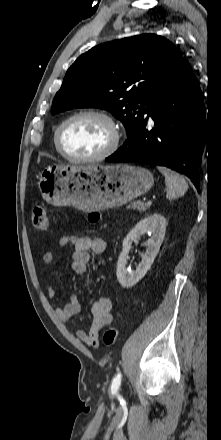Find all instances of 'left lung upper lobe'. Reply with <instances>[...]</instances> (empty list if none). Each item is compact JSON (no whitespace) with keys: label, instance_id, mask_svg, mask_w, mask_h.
Wrapping results in <instances>:
<instances>
[{"label":"left lung upper lobe","instance_id":"left-lung-upper-lobe-1","mask_svg":"<svg viewBox=\"0 0 221 440\" xmlns=\"http://www.w3.org/2000/svg\"><path fill=\"white\" fill-rule=\"evenodd\" d=\"M181 59L170 41L154 34L97 45L68 69L51 114L77 107L102 108L123 123L129 139L145 105Z\"/></svg>","mask_w":221,"mask_h":440}]
</instances>
